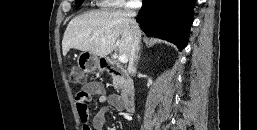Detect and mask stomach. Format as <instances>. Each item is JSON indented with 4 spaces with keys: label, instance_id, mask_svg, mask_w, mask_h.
Instances as JSON below:
<instances>
[{
    "label": "stomach",
    "instance_id": "stomach-1",
    "mask_svg": "<svg viewBox=\"0 0 257 130\" xmlns=\"http://www.w3.org/2000/svg\"><path fill=\"white\" fill-rule=\"evenodd\" d=\"M80 65L86 72H94L95 70H103L106 63V57H98L90 52H82L79 55Z\"/></svg>",
    "mask_w": 257,
    "mask_h": 130
}]
</instances>
